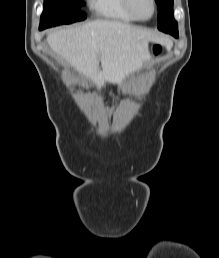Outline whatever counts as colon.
<instances>
[{
    "instance_id": "5ec220e1",
    "label": "colon",
    "mask_w": 219,
    "mask_h": 258,
    "mask_svg": "<svg viewBox=\"0 0 219 258\" xmlns=\"http://www.w3.org/2000/svg\"><path fill=\"white\" fill-rule=\"evenodd\" d=\"M152 50H153V52H154L155 54H159V53L161 52V46H159V45H154V46L152 47Z\"/></svg>"
}]
</instances>
